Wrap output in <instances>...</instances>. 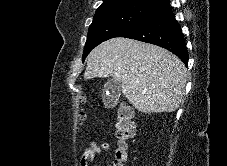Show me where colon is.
I'll return each mask as SVG.
<instances>
[{"label":"colon","instance_id":"1","mask_svg":"<svg viewBox=\"0 0 227 166\" xmlns=\"http://www.w3.org/2000/svg\"><path fill=\"white\" fill-rule=\"evenodd\" d=\"M80 120H86L84 112L80 114ZM115 131L118 139V148L113 166H124L128 160L129 142L133 137L134 131L133 111L129 104L124 103L119 106L115 118Z\"/></svg>","mask_w":227,"mask_h":166}]
</instances>
